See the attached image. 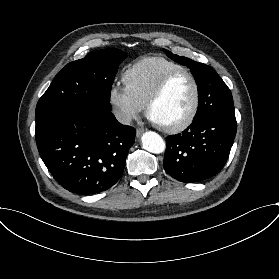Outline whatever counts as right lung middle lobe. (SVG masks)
<instances>
[{
    "instance_id": "right-lung-middle-lobe-1",
    "label": "right lung middle lobe",
    "mask_w": 279,
    "mask_h": 279,
    "mask_svg": "<svg viewBox=\"0 0 279 279\" xmlns=\"http://www.w3.org/2000/svg\"><path fill=\"white\" fill-rule=\"evenodd\" d=\"M126 57L119 49H104L70 62L55 76L39 99L35 116L50 107L78 102L111 111V87L118 66Z\"/></svg>"
}]
</instances>
